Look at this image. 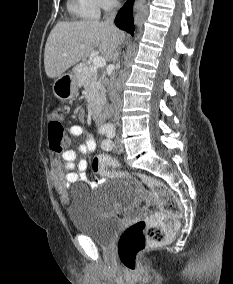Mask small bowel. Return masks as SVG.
<instances>
[{"label":"small bowel","instance_id":"obj_1","mask_svg":"<svg viewBox=\"0 0 233 284\" xmlns=\"http://www.w3.org/2000/svg\"><path fill=\"white\" fill-rule=\"evenodd\" d=\"M69 133L73 137L83 138L79 145V152L82 155L91 154L96 147L94 138L87 134L82 126L73 125L69 128ZM88 168V162L85 158L77 160L76 152L66 150L61 154V160L54 159L51 164L52 178L55 187L59 191H64L69 184L84 179V173ZM105 179L100 178L97 183L103 182Z\"/></svg>","mask_w":233,"mask_h":284}]
</instances>
